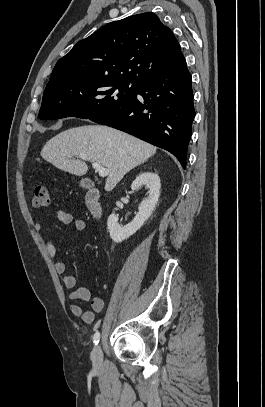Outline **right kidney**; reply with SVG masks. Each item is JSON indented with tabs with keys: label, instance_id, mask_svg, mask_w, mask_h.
<instances>
[{
	"label": "right kidney",
	"instance_id": "1",
	"mask_svg": "<svg viewBox=\"0 0 265 407\" xmlns=\"http://www.w3.org/2000/svg\"><path fill=\"white\" fill-rule=\"evenodd\" d=\"M143 185L149 189V196L139 205L138 213L133 221L121 227L118 224V216L114 212L108 218L107 225L110 237L116 243H120L136 233L155 209L161 187L158 174L153 172H143L139 174L132 182L131 189L137 190Z\"/></svg>",
	"mask_w": 265,
	"mask_h": 407
}]
</instances>
